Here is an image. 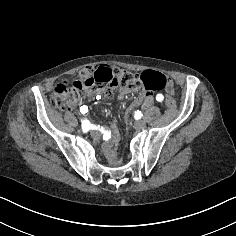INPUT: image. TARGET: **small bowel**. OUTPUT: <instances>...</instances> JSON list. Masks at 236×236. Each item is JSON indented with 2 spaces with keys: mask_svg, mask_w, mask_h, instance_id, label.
<instances>
[{
  "mask_svg": "<svg viewBox=\"0 0 236 236\" xmlns=\"http://www.w3.org/2000/svg\"><path fill=\"white\" fill-rule=\"evenodd\" d=\"M138 89H139L138 83L133 84V85L122 86L120 88L118 97L119 99H124L130 93H133L137 91ZM108 95H110V93H108ZM141 103H143V106L146 108L150 107L153 103V98L150 95H148L143 98ZM82 108H85V107L83 106ZM102 137L104 140V144H103L104 153L108 161L110 162V164L117 167L120 164V162L117 160V157H116V148L120 140V134H119L116 124L113 122H109L108 126L102 130Z\"/></svg>",
  "mask_w": 236,
  "mask_h": 236,
  "instance_id": "1",
  "label": "small bowel"
}]
</instances>
